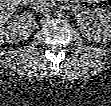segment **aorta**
<instances>
[{"mask_svg":"<svg viewBox=\"0 0 111 106\" xmlns=\"http://www.w3.org/2000/svg\"><path fill=\"white\" fill-rule=\"evenodd\" d=\"M56 14L58 17H61V16H63L64 12H63V10L60 9L56 12Z\"/></svg>","mask_w":111,"mask_h":106,"instance_id":"762f6f07","label":"aorta"}]
</instances>
